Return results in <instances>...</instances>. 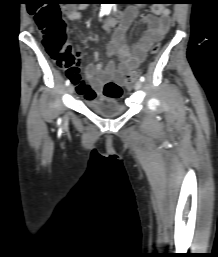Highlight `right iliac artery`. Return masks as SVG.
Segmentation results:
<instances>
[{
    "instance_id": "82829eb1",
    "label": "right iliac artery",
    "mask_w": 218,
    "mask_h": 257,
    "mask_svg": "<svg viewBox=\"0 0 218 257\" xmlns=\"http://www.w3.org/2000/svg\"><path fill=\"white\" fill-rule=\"evenodd\" d=\"M104 15V13H100V17H102ZM66 86H68L70 84V80L67 79L66 82H65Z\"/></svg>"
}]
</instances>
